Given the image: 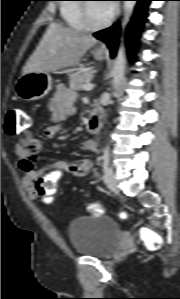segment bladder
Returning a JSON list of instances; mask_svg holds the SVG:
<instances>
[{"mask_svg": "<svg viewBox=\"0 0 180 299\" xmlns=\"http://www.w3.org/2000/svg\"><path fill=\"white\" fill-rule=\"evenodd\" d=\"M68 239L76 253L106 258L121 243V229L118 223L107 216H79L67 226Z\"/></svg>", "mask_w": 180, "mask_h": 299, "instance_id": "obj_1", "label": "bladder"}]
</instances>
